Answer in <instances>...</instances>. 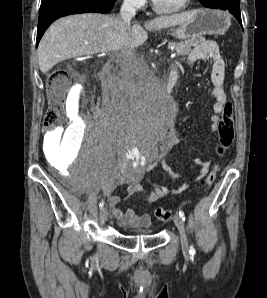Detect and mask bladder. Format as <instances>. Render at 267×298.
Wrapping results in <instances>:
<instances>
[{
  "label": "bladder",
  "instance_id": "obj_1",
  "mask_svg": "<svg viewBox=\"0 0 267 298\" xmlns=\"http://www.w3.org/2000/svg\"><path fill=\"white\" fill-rule=\"evenodd\" d=\"M146 235H151V232L147 233Z\"/></svg>",
  "mask_w": 267,
  "mask_h": 298
}]
</instances>
